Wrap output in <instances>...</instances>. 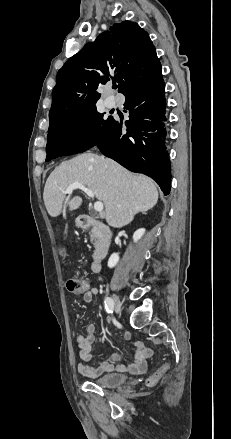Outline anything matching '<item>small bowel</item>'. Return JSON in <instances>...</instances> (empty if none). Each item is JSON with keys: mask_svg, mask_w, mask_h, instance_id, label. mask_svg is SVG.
I'll use <instances>...</instances> for the list:
<instances>
[{"mask_svg": "<svg viewBox=\"0 0 231 439\" xmlns=\"http://www.w3.org/2000/svg\"><path fill=\"white\" fill-rule=\"evenodd\" d=\"M98 294V288H87L83 292V299L86 303H90ZM130 338V334L125 332L124 339L129 340ZM75 339L79 348V357L81 359V362L78 364V371L84 376L97 377L114 370L120 372L128 371L131 373H142L147 368V349L142 342H135L134 361L129 365L118 364L116 367H114L111 363L104 361L98 366H91L88 364V361H90L92 357L91 350L92 344L95 340V326L93 324H88L86 327V333L76 335ZM112 358L113 360H118L120 356L114 355Z\"/></svg>", "mask_w": 231, "mask_h": 439, "instance_id": "small-bowel-1", "label": "small bowel"}]
</instances>
